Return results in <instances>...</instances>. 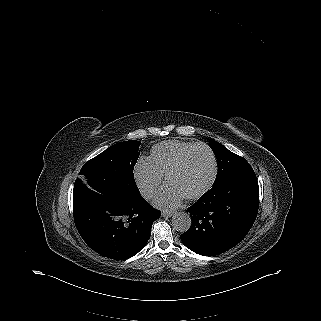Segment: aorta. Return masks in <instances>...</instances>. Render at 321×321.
Returning a JSON list of instances; mask_svg holds the SVG:
<instances>
[{
	"mask_svg": "<svg viewBox=\"0 0 321 321\" xmlns=\"http://www.w3.org/2000/svg\"><path fill=\"white\" fill-rule=\"evenodd\" d=\"M192 224L191 217L188 213L177 212L172 217V227L178 232H186Z\"/></svg>",
	"mask_w": 321,
	"mask_h": 321,
	"instance_id": "aorta-1",
	"label": "aorta"
}]
</instances>
